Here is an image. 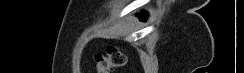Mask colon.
I'll return each instance as SVG.
<instances>
[{"instance_id": "1", "label": "colon", "mask_w": 244, "mask_h": 73, "mask_svg": "<svg viewBox=\"0 0 244 73\" xmlns=\"http://www.w3.org/2000/svg\"><path fill=\"white\" fill-rule=\"evenodd\" d=\"M126 57L117 47L109 45L104 53L96 55L98 73H111L112 70L125 65Z\"/></svg>"}]
</instances>
